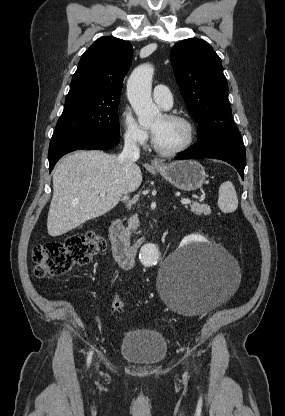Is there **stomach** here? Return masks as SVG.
Listing matches in <instances>:
<instances>
[{"label":"stomach","instance_id":"stomach-1","mask_svg":"<svg viewBox=\"0 0 285 416\" xmlns=\"http://www.w3.org/2000/svg\"><path fill=\"white\" fill-rule=\"evenodd\" d=\"M162 178L168 180L172 186L185 192H194L201 188L205 182L206 174L199 162L194 160H180L171 164H161L155 168Z\"/></svg>","mask_w":285,"mask_h":416}]
</instances>
